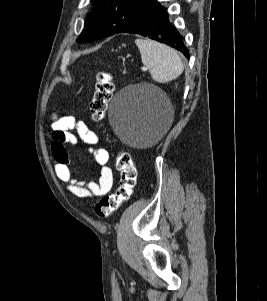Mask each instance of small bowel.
<instances>
[{
  "label": "small bowel",
  "instance_id": "c3829d8e",
  "mask_svg": "<svg viewBox=\"0 0 267 301\" xmlns=\"http://www.w3.org/2000/svg\"><path fill=\"white\" fill-rule=\"evenodd\" d=\"M52 129V155L54 169L59 180L66 184L67 190L76 197L93 198L107 194L113 186V172L108 165L110 154L99 146V136L85 122L73 116L54 120ZM79 142L86 145V150L101 167L97 181L76 179L71 171L65 144L76 146Z\"/></svg>",
  "mask_w": 267,
  "mask_h": 301
}]
</instances>
